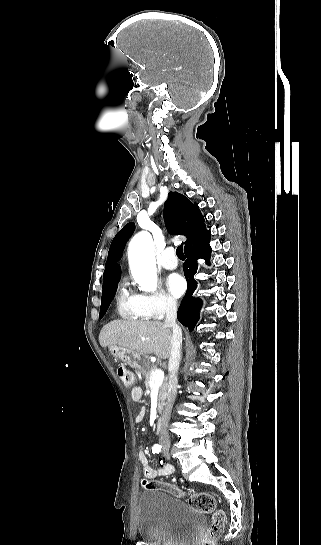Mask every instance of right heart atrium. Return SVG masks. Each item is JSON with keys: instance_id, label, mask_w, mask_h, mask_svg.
<instances>
[{"instance_id": "d8ad5b80", "label": "right heart atrium", "mask_w": 321, "mask_h": 545, "mask_svg": "<svg viewBox=\"0 0 321 545\" xmlns=\"http://www.w3.org/2000/svg\"><path fill=\"white\" fill-rule=\"evenodd\" d=\"M135 298L142 314L150 320H161L174 313L178 308L173 299L162 293L155 295L138 294L135 295Z\"/></svg>"}]
</instances>
